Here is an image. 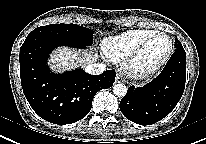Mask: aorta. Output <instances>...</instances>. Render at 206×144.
I'll return each mask as SVG.
<instances>
[{"label":"aorta","mask_w":206,"mask_h":144,"mask_svg":"<svg viewBox=\"0 0 206 144\" xmlns=\"http://www.w3.org/2000/svg\"><path fill=\"white\" fill-rule=\"evenodd\" d=\"M113 93L117 96V97H124L127 94V87L124 84H116L113 87Z\"/></svg>","instance_id":"obj_1"}]
</instances>
